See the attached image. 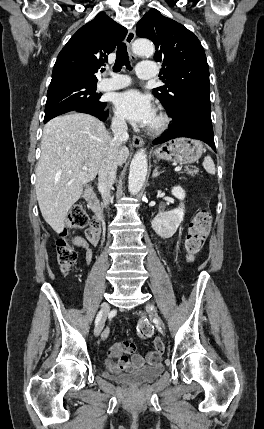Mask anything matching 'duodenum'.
<instances>
[{
    "label": "duodenum",
    "instance_id": "duodenum-1",
    "mask_svg": "<svg viewBox=\"0 0 264 429\" xmlns=\"http://www.w3.org/2000/svg\"><path fill=\"white\" fill-rule=\"evenodd\" d=\"M84 197L87 201L88 207L94 213L95 219L98 222H101L102 218H103V209H102L101 203H100L97 195L95 194L94 190L92 189V187L86 188V190L84 192Z\"/></svg>",
    "mask_w": 264,
    "mask_h": 429
}]
</instances>
